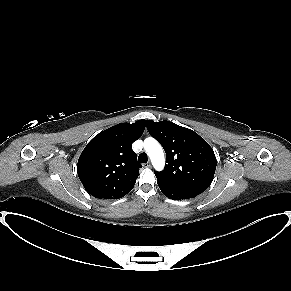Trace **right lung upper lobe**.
Instances as JSON below:
<instances>
[{"mask_svg":"<svg viewBox=\"0 0 291 291\" xmlns=\"http://www.w3.org/2000/svg\"><path fill=\"white\" fill-rule=\"evenodd\" d=\"M144 119L120 123L96 135L82 151L77 173L85 190L95 198L119 199L129 193L141 164L132 143L145 129Z\"/></svg>","mask_w":291,"mask_h":291,"instance_id":"1","label":"right lung upper lobe"}]
</instances>
